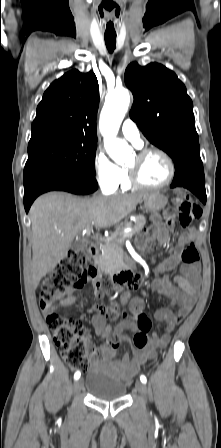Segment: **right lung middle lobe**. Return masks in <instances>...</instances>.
<instances>
[{"mask_svg": "<svg viewBox=\"0 0 221 448\" xmlns=\"http://www.w3.org/2000/svg\"><path fill=\"white\" fill-rule=\"evenodd\" d=\"M97 139H70L28 148L25 168L47 165L67 172L95 178Z\"/></svg>", "mask_w": 221, "mask_h": 448, "instance_id": "1", "label": "right lung middle lobe"}]
</instances>
